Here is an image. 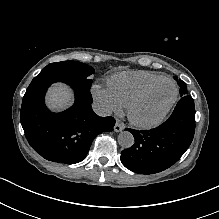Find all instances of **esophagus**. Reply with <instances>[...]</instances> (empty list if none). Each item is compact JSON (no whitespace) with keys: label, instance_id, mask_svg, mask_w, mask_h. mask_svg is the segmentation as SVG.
I'll return each mask as SVG.
<instances>
[{"label":"esophagus","instance_id":"esophagus-1","mask_svg":"<svg viewBox=\"0 0 219 219\" xmlns=\"http://www.w3.org/2000/svg\"><path fill=\"white\" fill-rule=\"evenodd\" d=\"M123 130H124V125L120 123L119 121H116L115 126H114V131L121 132Z\"/></svg>","mask_w":219,"mask_h":219}]
</instances>
